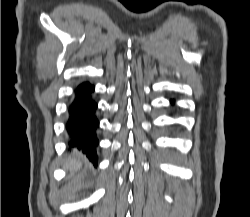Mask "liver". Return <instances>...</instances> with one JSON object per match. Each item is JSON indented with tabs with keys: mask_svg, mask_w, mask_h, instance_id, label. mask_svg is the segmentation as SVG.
Masks as SVG:
<instances>
[{
	"mask_svg": "<svg viewBox=\"0 0 250 217\" xmlns=\"http://www.w3.org/2000/svg\"><path fill=\"white\" fill-rule=\"evenodd\" d=\"M71 174H74L81 167V162L75 158H69L65 166Z\"/></svg>",
	"mask_w": 250,
	"mask_h": 217,
	"instance_id": "1",
	"label": "liver"
}]
</instances>
